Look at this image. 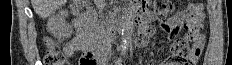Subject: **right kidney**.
Wrapping results in <instances>:
<instances>
[{"label":"right kidney","mask_w":232,"mask_h":65,"mask_svg":"<svg viewBox=\"0 0 232 65\" xmlns=\"http://www.w3.org/2000/svg\"><path fill=\"white\" fill-rule=\"evenodd\" d=\"M68 11H61L56 15H52L47 23V30L53 34L54 37L62 39L71 36L73 29L66 23Z\"/></svg>","instance_id":"obj_1"}]
</instances>
